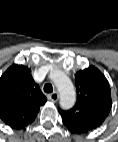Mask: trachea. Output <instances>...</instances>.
I'll use <instances>...</instances> for the list:
<instances>
[{"label":"trachea","instance_id":"obj_1","mask_svg":"<svg viewBox=\"0 0 118 142\" xmlns=\"http://www.w3.org/2000/svg\"><path fill=\"white\" fill-rule=\"evenodd\" d=\"M44 91H45L46 93H51V92H53V87H52V85H51V84H45V85H44Z\"/></svg>","mask_w":118,"mask_h":142}]
</instances>
